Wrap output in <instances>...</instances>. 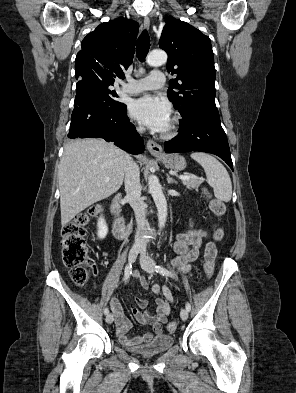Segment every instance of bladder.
<instances>
[{
    "label": "bladder",
    "mask_w": 296,
    "mask_h": 393,
    "mask_svg": "<svg viewBox=\"0 0 296 393\" xmlns=\"http://www.w3.org/2000/svg\"><path fill=\"white\" fill-rule=\"evenodd\" d=\"M174 345V336L168 334L155 335L149 342L141 346H128L124 348L127 351L141 355L153 356L162 354Z\"/></svg>",
    "instance_id": "bladder-1"
}]
</instances>
